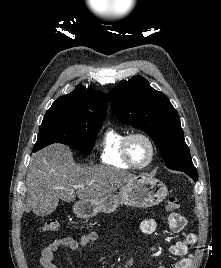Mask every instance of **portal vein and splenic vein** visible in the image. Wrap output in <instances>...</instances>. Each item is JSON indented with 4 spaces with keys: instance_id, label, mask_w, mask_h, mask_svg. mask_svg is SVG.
Masks as SVG:
<instances>
[{
    "instance_id": "obj_1",
    "label": "portal vein and splenic vein",
    "mask_w": 221,
    "mask_h": 268,
    "mask_svg": "<svg viewBox=\"0 0 221 268\" xmlns=\"http://www.w3.org/2000/svg\"><path fill=\"white\" fill-rule=\"evenodd\" d=\"M73 187H74V189H78V188H81V187H83V186L80 185V184H78V185H74Z\"/></svg>"
}]
</instances>
